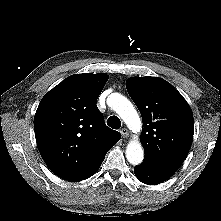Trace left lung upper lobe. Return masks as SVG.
Here are the masks:
<instances>
[{"instance_id":"1","label":"left lung upper lobe","mask_w":221,"mask_h":221,"mask_svg":"<svg viewBox=\"0 0 221 221\" xmlns=\"http://www.w3.org/2000/svg\"><path fill=\"white\" fill-rule=\"evenodd\" d=\"M126 87L143 120V162L175 173L193 140L190 106L169 82L158 77L130 78Z\"/></svg>"}]
</instances>
